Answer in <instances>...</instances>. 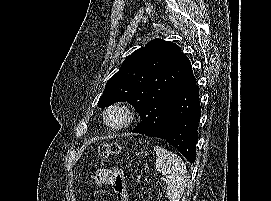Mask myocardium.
<instances>
[{
  "label": "myocardium",
  "mask_w": 271,
  "mask_h": 201,
  "mask_svg": "<svg viewBox=\"0 0 271 201\" xmlns=\"http://www.w3.org/2000/svg\"><path fill=\"white\" fill-rule=\"evenodd\" d=\"M114 111L120 112L123 115V121L118 125L111 124L108 119L109 114ZM103 120H104L105 125L108 128L112 130H122L129 127L134 122L135 114L132 108L128 104L118 102V103L109 105L104 110Z\"/></svg>",
  "instance_id": "1"
}]
</instances>
